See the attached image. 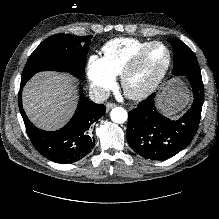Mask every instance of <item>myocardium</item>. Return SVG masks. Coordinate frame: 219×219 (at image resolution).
I'll list each match as a JSON object with an SVG mask.
<instances>
[{"label":"myocardium","mask_w":219,"mask_h":219,"mask_svg":"<svg viewBox=\"0 0 219 219\" xmlns=\"http://www.w3.org/2000/svg\"><path fill=\"white\" fill-rule=\"evenodd\" d=\"M162 47L166 53V62L158 70L150 80L139 88H133L130 84V79L132 75L136 72L139 65L142 63L146 55L154 47ZM172 64V54L170 49L166 44L160 41H153L147 47L139 51L126 65V67L121 72V86L125 94L131 99H143L151 95L164 80Z\"/></svg>","instance_id":"myocardium-1"}]
</instances>
